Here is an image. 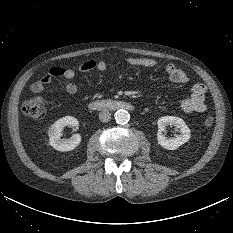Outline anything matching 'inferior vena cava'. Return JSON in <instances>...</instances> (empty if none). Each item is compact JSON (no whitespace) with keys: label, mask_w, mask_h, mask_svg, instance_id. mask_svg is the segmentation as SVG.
Segmentation results:
<instances>
[{"label":"inferior vena cava","mask_w":233,"mask_h":233,"mask_svg":"<svg viewBox=\"0 0 233 233\" xmlns=\"http://www.w3.org/2000/svg\"><path fill=\"white\" fill-rule=\"evenodd\" d=\"M99 119L101 122H108L111 119V113L108 110H102L99 113Z\"/></svg>","instance_id":"obj_1"}]
</instances>
